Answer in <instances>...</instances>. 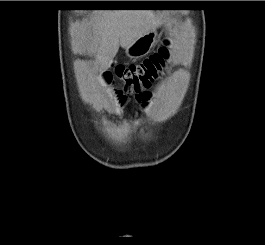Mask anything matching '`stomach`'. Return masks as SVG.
Listing matches in <instances>:
<instances>
[{"instance_id":"0dacf381","label":"stomach","mask_w":265,"mask_h":245,"mask_svg":"<svg viewBox=\"0 0 265 245\" xmlns=\"http://www.w3.org/2000/svg\"><path fill=\"white\" fill-rule=\"evenodd\" d=\"M156 36L155 30L144 34L126 49V54L130 58H140L147 55L156 43Z\"/></svg>"}]
</instances>
